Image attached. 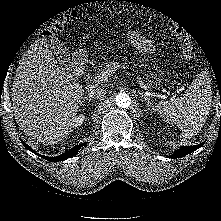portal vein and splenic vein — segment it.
I'll use <instances>...</instances> for the list:
<instances>
[{"label":"portal vein and splenic vein","mask_w":221,"mask_h":221,"mask_svg":"<svg viewBox=\"0 0 221 221\" xmlns=\"http://www.w3.org/2000/svg\"><path fill=\"white\" fill-rule=\"evenodd\" d=\"M116 68L119 67V65L117 64L115 66ZM116 69L115 68H111V69H106L102 72H100L96 77H95V82H105L107 81L111 75H113L115 73ZM110 76V77H109ZM109 77V78H108ZM137 80L140 84V86L144 89V90H149V87L144 84V82L141 80V78L139 76H137Z\"/></svg>","instance_id":"obj_1"}]
</instances>
